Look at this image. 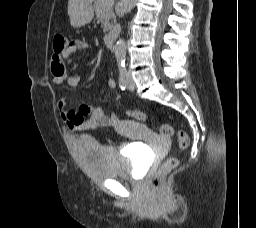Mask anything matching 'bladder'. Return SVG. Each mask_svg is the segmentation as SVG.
I'll use <instances>...</instances> for the list:
<instances>
[{
    "label": "bladder",
    "instance_id": "bladder-1",
    "mask_svg": "<svg viewBox=\"0 0 256 228\" xmlns=\"http://www.w3.org/2000/svg\"><path fill=\"white\" fill-rule=\"evenodd\" d=\"M77 148L85 170L100 179H132L146 162L144 151L132 144L123 154L91 137H81Z\"/></svg>",
    "mask_w": 256,
    "mask_h": 228
}]
</instances>
